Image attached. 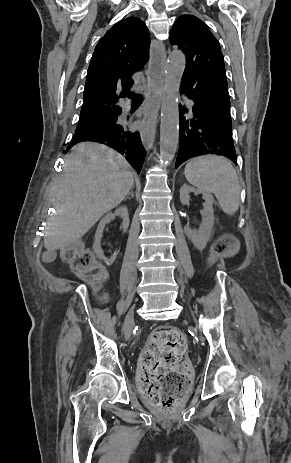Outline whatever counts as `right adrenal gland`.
Here are the masks:
<instances>
[{"label": "right adrenal gland", "mask_w": 291, "mask_h": 463, "mask_svg": "<svg viewBox=\"0 0 291 463\" xmlns=\"http://www.w3.org/2000/svg\"><path fill=\"white\" fill-rule=\"evenodd\" d=\"M133 189H134V185L131 187V191H130V192L127 194V196L125 197V200H126L127 198H129V196H131V198L134 197Z\"/></svg>", "instance_id": "2a0ac1e0"}]
</instances>
